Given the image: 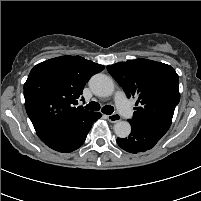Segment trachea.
I'll list each match as a JSON object with an SVG mask.
<instances>
[{
    "instance_id": "3493384b",
    "label": "trachea",
    "mask_w": 201,
    "mask_h": 201,
    "mask_svg": "<svg viewBox=\"0 0 201 201\" xmlns=\"http://www.w3.org/2000/svg\"><path fill=\"white\" fill-rule=\"evenodd\" d=\"M86 109L88 110H92V111H99L100 110V105L95 102V101H92L90 102L88 105H86ZM102 112L104 114H112L114 112V107L111 106V105H106L102 108Z\"/></svg>"
}]
</instances>
